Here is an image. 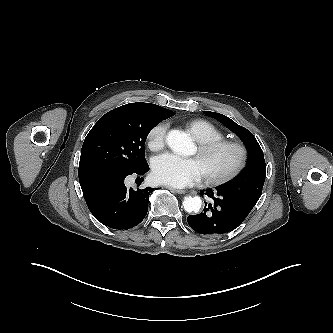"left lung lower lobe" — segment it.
<instances>
[{
	"instance_id": "1",
	"label": "left lung lower lobe",
	"mask_w": 333,
	"mask_h": 333,
	"mask_svg": "<svg viewBox=\"0 0 333 333\" xmlns=\"http://www.w3.org/2000/svg\"><path fill=\"white\" fill-rule=\"evenodd\" d=\"M214 200L213 205L197 215L187 217L190 227L199 234L215 236L237 228L251 212L258 199L244 193L230 192L223 187L201 191Z\"/></svg>"
}]
</instances>
